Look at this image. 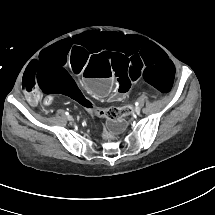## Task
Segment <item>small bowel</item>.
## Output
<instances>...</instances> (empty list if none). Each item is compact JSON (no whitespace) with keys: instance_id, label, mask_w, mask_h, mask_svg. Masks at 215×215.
<instances>
[{"instance_id":"obj_1","label":"small bowel","mask_w":215,"mask_h":215,"mask_svg":"<svg viewBox=\"0 0 215 215\" xmlns=\"http://www.w3.org/2000/svg\"><path fill=\"white\" fill-rule=\"evenodd\" d=\"M114 98H115V100L120 101V100H122L123 96L121 94H119V93H115ZM76 101L78 102L77 98H76ZM29 102H30L31 105H37L38 97L36 95L31 96L29 98Z\"/></svg>"}]
</instances>
